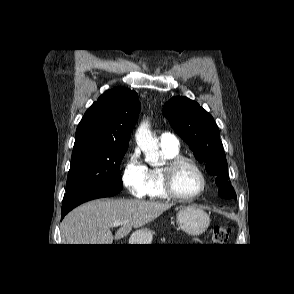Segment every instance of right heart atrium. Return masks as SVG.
Here are the masks:
<instances>
[{
  "label": "right heart atrium",
  "mask_w": 294,
  "mask_h": 294,
  "mask_svg": "<svg viewBox=\"0 0 294 294\" xmlns=\"http://www.w3.org/2000/svg\"><path fill=\"white\" fill-rule=\"evenodd\" d=\"M121 179L133 197L143 198L147 195L148 168L137 149H133L122 162Z\"/></svg>",
  "instance_id": "right-heart-atrium-1"
}]
</instances>
